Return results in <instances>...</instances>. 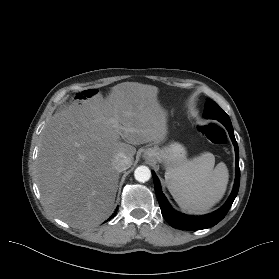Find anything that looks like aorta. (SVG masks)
<instances>
[{
    "instance_id": "aorta-1",
    "label": "aorta",
    "mask_w": 279,
    "mask_h": 279,
    "mask_svg": "<svg viewBox=\"0 0 279 279\" xmlns=\"http://www.w3.org/2000/svg\"><path fill=\"white\" fill-rule=\"evenodd\" d=\"M134 177L138 182H146L151 178V171L147 166H139L134 171Z\"/></svg>"
}]
</instances>
